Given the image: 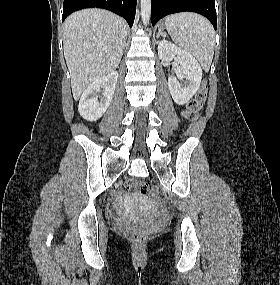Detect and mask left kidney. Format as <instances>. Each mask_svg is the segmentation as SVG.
<instances>
[{
    "mask_svg": "<svg viewBox=\"0 0 280 285\" xmlns=\"http://www.w3.org/2000/svg\"><path fill=\"white\" fill-rule=\"evenodd\" d=\"M158 55L163 61L176 59L180 64L179 73L168 78V87L174 102L178 105L187 103L198 91L202 79V69L189 52L162 40L158 44ZM185 78L187 83L181 87L178 79Z\"/></svg>",
    "mask_w": 280,
    "mask_h": 285,
    "instance_id": "1",
    "label": "left kidney"
}]
</instances>
